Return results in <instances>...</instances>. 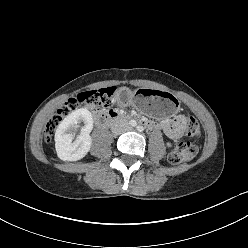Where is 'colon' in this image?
<instances>
[{"label":"colon","instance_id":"obj_1","mask_svg":"<svg viewBox=\"0 0 248 248\" xmlns=\"http://www.w3.org/2000/svg\"><path fill=\"white\" fill-rule=\"evenodd\" d=\"M114 87L90 90L77 94L70 98L65 105L59 109L47 122L45 127L44 139L47 143L51 142L55 129L62 119L70 112L74 111L79 105H85L92 108L95 112L109 110L114 104ZM201 133L199 123L190 118L187 125V135L189 137H198ZM197 146L188 141H178L169 154L168 159L173 164L190 161L197 153Z\"/></svg>","mask_w":248,"mask_h":248}]
</instances>
